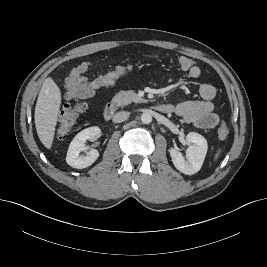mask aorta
<instances>
[{
	"label": "aorta",
	"instance_id": "obj_1",
	"mask_svg": "<svg viewBox=\"0 0 267 267\" xmlns=\"http://www.w3.org/2000/svg\"><path fill=\"white\" fill-rule=\"evenodd\" d=\"M141 121L144 124L151 123L152 122V116H151V114L150 113H147V112L142 113V115H141Z\"/></svg>",
	"mask_w": 267,
	"mask_h": 267
}]
</instances>
